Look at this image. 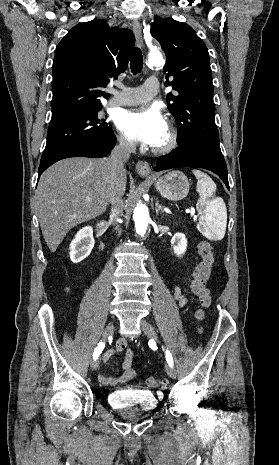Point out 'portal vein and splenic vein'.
<instances>
[{
	"instance_id": "portal-vein-and-splenic-vein-1",
	"label": "portal vein and splenic vein",
	"mask_w": 279,
	"mask_h": 465,
	"mask_svg": "<svg viewBox=\"0 0 279 465\" xmlns=\"http://www.w3.org/2000/svg\"><path fill=\"white\" fill-rule=\"evenodd\" d=\"M86 200H87V201H90V198L87 197ZM191 216H194V219L196 218V216L194 215V212H191Z\"/></svg>"
}]
</instances>
